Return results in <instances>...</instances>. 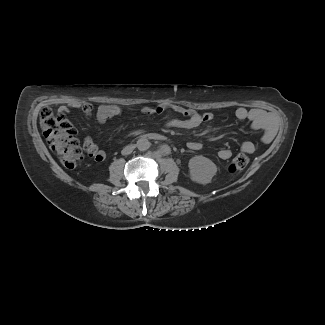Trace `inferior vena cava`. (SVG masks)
Returning <instances> with one entry per match:
<instances>
[{
    "label": "inferior vena cava",
    "instance_id": "obj_1",
    "mask_svg": "<svg viewBox=\"0 0 325 325\" xmlns=\"http://www.w3.org/2000/svg\"><path fill=\"white\" fill-rule=\"evenodd\" d=\"M134 146L133 145H128L125 148H123V150L121 151L122 155H129L132 153V151L134 150Z\"/></svg>",
    "mask_w": 325,
    "mask_h": 325
}]
</instances>
